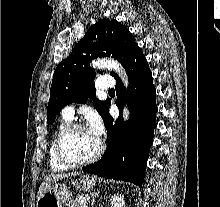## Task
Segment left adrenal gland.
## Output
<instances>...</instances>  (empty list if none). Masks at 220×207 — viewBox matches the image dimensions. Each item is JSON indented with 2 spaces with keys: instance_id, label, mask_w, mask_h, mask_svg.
<instances>
[{
  "instance_id": "1",
  "label": "left adrenal gland",
  "mask_w": 220,
  "mask_h": 207,
  "mask_svg": "<svg viewBox=\"0 0 220 207\" xmlns=\"http://www.w3.org/2000/svg\"><path fill=\"white\" fill-rule=\"evenodd\" d=\"M98 196H99V191L93 192V194H92V200H91V205H92V207H93V205H94L95 198L98 197Z\"/></svg>"
}]
</instances>
